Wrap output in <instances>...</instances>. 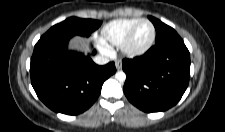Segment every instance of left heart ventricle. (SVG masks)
<instances>
[{
    "label": "left heart ventricle",
    "mask_w": 225,
    "mask_h": 132,
    "mask_svg": "<svg viewBox=\"0 0 225 132\" xmlns=\"http://www.w3.org/2000/svg\"><path fill=\"white\" fill-rule=\"evenodd\" d=\"M152 29L148 23H141L132 37L131 45L133 47H140L144 45L151 37Z\"/></svg>",
    "instance_id": "1"
}]
</instances>
